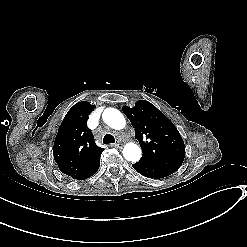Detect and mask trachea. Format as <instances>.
Listing matches in <instances>:
<instances>
[{
	"label": "trachea",
	"mask_w": 247,
	"mask_h": 247,
	"mask_svg": "<svg viewBox=\"0 0 247 247\" xmlns=\"http://www.w3.org/2000/svg\"><path fill=\"white\" fill-rule=\"evenodd\" d=\"M103 143L104 144H114L115 143V138L111 134H105L103 138Z\"/></svg>",
	"instance_id": "obj_1"
}]
</instances>
